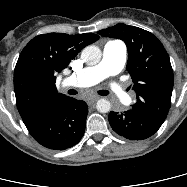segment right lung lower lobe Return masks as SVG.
Returning a JSON list of instances; mask_svg holds the SVG:
<instances>
[{
    "mask_svg": "<svg viewBox=\"0 0 187 187\" xmlns=\"http://www.w3.org/2000/svg\"><path fill=\"white\" fill-rule=\"evenodd\" d=\"M87 104L68 97L46 110L29 124L32 137L46 148L64 150L76 145L84 135Z\"/></svg>",
    "mask_w": 187,
    "mask_h": 187,
    "instance_id": "1",
    "label": "right lung lower lobe"
}]
</instances>
